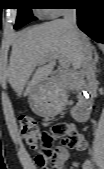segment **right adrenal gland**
Returning a JSON list of instances; mask_svg holds the SVG:
<instances>
[{
  "mask_svg": "<svg viewBox=\"0 0 104 169\" xmlns=\"http://www.w3.org/2000/svg\"><path fill=\"white\" fill-rule=\"evenodd\" d=\"M92 49H93V54H94V62H93L94 69H95V71H97L96 65H97V62L99 60V55H98L97 50L94 46L92 47Z\"/></svg>",
  "mask_w": 104,
  "mask_h": 169,
  "instance_id": "right-adrenal-gland-1",
  "label": "right adrenal gland"
}]
</instances>
